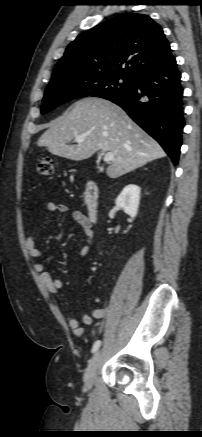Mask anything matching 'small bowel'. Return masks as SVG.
I'll return each mask as SVG.
<instances>
[{"label": "small bowel", "instance_id": "1", "mask_svg": "<svg viewBox=\"0 0 202 437\" xmlns=\"http://www.w3.org/2000/svg\"><path fill=\"white\" fill-rule=\"evenodd\" d=\"M47 209L50 212L66 214L70 212L71 218L81 226L84 235L86 237V242L81 248V255L85 256L88 254L90 247L93 242V229L92 223L89 221L88 217L79 210H71L65 204H57L55 202H48ZM37 234H32L26 239V248L28 254L32 258H40L42 256V251L36 246ZM33 269L37 272L40 281L42 284L49 290V292L53 294H59L61 297V290L63 288V282L60 279H54L52 276L45 271V266L42 261H35L33 263ZM106 314V310L104 308H94L91 314H85L82 317V323L84 325H90L94 319H102ZM69 328L74 332L77 336H82L84 334L83 328L80 326L79 320L70 316L67 320ZM101 324L98 325L100 327Z\"/></svg>", "mask_w": 202, "mask_h": 437}]
</instances>
